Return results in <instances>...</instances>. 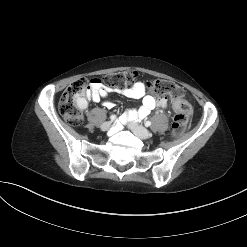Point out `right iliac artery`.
I'll return each mask as SVG.
<instances>
[{"label": "right iliac artery", "instance_id": "82829eb1", "mask_svg": "<svg viewBox=\"0 0 247 247\" xmlns=\"http://www.w3.org/2000/svg\"><path fill=\"white\" fill-rule=\"evenodd\" d=\"M110 119H111V120L116 119V115H111V116H110Z\"/></svg>", "mask_w": 247, "mask_h": 247}]
</instances>
